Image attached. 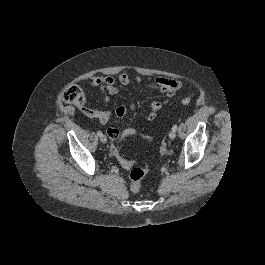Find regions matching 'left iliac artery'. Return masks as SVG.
<instances>
[{
  "label": "left iliac artery",
  "mask_w": 265,
  "mask_h": 265,
  "mask_svg": "<svg viewBox=\"0 0 265 265\" xmlns=\"http://www.w3.org/2000/svg\"><path fill=\"white\" fill-rule=\"evenodd\" d=\"M172 130H174V131L177 130V125L176 124L172 127Z\"/></svg>",
  "instance_id": "1"
}]
</instances>
